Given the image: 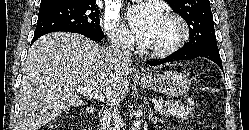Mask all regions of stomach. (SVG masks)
Instances as JSON below:
<instances>
[{"label": "stomach", "mask_w": 249, "mask_h": 130, "mask_svg": "<svg viewBox=\"0 0 249 130\" xmlns=\"http://www.w3.org/2000/svg\"><path fill=\"white\" fill-rule=\"evenodd\" d=\"M138 81L145 88L172 97L186 94L191 85L184 74L174 70H165L154 75L139 77Z\"/></svg>", "instance_id": "obj_1"}]
</instances>
